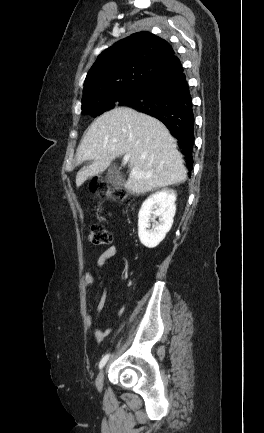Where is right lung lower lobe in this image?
Masks as SVG:
<instances>
[{
    "label": "right lung lower lobe",
    "instance_id": "right-lung-lower-lobe-1",
    "mask_svg": "<svg viewBox=\"0 0 264 433\" xmlns=\"http://www.w3.org/2000/svg\"><path fill=\"white\" fill-rule=\"evenodd\" d=\"M159 119L178 140L188 168L193 166L194 114L189 86L176 54L141 84L136 96L124 103Z\"/></svg>",
    "mask_w": 264,
    "mask_h": 433
}]
</instances>
